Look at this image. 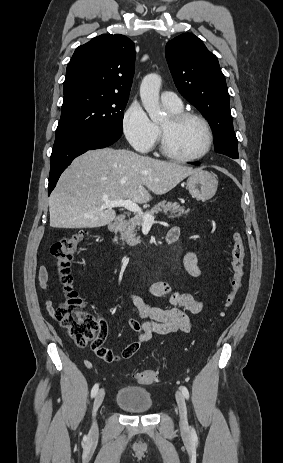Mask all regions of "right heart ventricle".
<instances>
[{
  "label": "right heart ventricle",
  "instance_id": "obj_1",
  "mask_svg": "<svg viewBox=\"0 0 283 463\" xmlns=\"http://www.w3.org/2000/svg\"><path fill=\"white\" fill-rule=\"evenodd\" d=\"M165 107L168 109V111L170 113H179V112L182 111V106L179 107V108H171V107H168V106L165 105Z\"/></svg>",
  "mask_w": 283,
  "mask_h": 463
}]
</instances>
